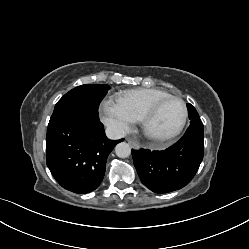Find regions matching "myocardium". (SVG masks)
I'll list each match as a JSON object with an SVG mask.
<instances>
[{
    "label": "myocardium",
    "mask_w": 249,
    "mask_h": 249,
    "mask_svg": "<svg viewBox=\"0 0 249 249\" xmlns=\"http://www.w3.org/2000/svg\"><path fill=\"white\" fill-rule=\"evenodd\" d=\"M170 100H178L183 105V116H182V119H181L179 125L177 126V128L174 131H172L171 133H169L167 135L160 136V137H156V136L151 135L148 132V125H149L150 121L154 118V116L157 114V112L160 110V108L166 102H168ZM187 118H188V107H187L186 102L181 97L170 95L168 97H165V98L157 101L153 105H151L142 114L140 120H141V126H142L143 133L147 136V138L155 143L164 145V144L168 143L169 141L173 140L175 137H177L181 133V131L183 130V128L185 126Z\"/></svg>",
    "instance_id": "obj_1"
}]
</instances>
